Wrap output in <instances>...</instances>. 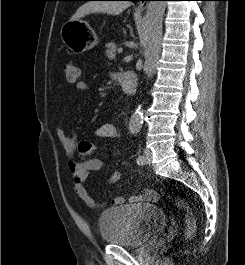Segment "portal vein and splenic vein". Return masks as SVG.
<instances>
[{
  "mask_svg": "<svg viewBox=\"0 0 245 265\" xmlns=\"http://www.w3.org/2000/svg\"><path fill=\"white\" fill-rule=\"evenodd\" d=\"M123 52V49L122 48H119L118 49V53L120 54V53H122Z\"/></svg>",
  "mask_w": 245,
  "mask_h": 265,
  "instance_id": "1",
  "label": "portal vein and splenic vein"
}]
</instances>
